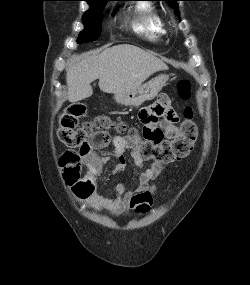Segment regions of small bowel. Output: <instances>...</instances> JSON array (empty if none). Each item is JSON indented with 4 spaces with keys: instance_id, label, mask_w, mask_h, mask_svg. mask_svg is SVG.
Segmentation results:
<instances>
[{
    "instance_id": "small-bowel-1",
    "label": "small bowel",
    "mask_w": 250,
    "mask_h": 285,
    "mask_svg": "<svg viewBox=\"0 0 250 285\" xmlns=\"http://www.w3.org/2000/svg\"><path fill=\"white\" fill-rule=\"evenodd\" d=\"M139 119L144 124V136L141 141H152V144H165L177 134L175 122L177 115L171 109L167 99L162 98L159 102L143 108L139 113ZM111 141L118 163L112 167L108 166V158H99L95 152L106 146ZM106 143H99L96 137H91L88 143L80 148V156L87 165L89 171L81 179L72 185L73 193L81 200L87 201L89 206L95 210H105L113 216L123 215L131 210L138 214L147 213L152 204L155 193V180L163 171L164 163L155 161L146 167L143 160L137 154L139 140L133 141L122 136H113ZM132 149L131 156L134 163L143 169L139 175L138 187L135 191H128L123 183L116 185L113 197H106L96 190V178L102 170L113 173L124 171L126 166L125 152Z\"/></svg>"
}]
</instances>
